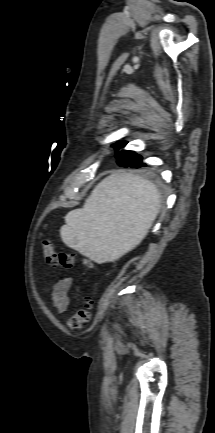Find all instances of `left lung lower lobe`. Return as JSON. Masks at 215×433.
<instances>
[{"mask_svg":"<svg viewBox=\"0 0 215 433\" xmlns=\"http://www.w3.org/2000/svg\"><path fill=\"white\" fill-rule=\"evenodd\" d=\"M141 166H144V164L140 163H131L129 165L126 166V168L131 167V168H140Z\"/></svg>","mask_w":215,"mask_h":433,"instance_id":"0a47b994","label":"left lung lower lobe"}]
</instances>
